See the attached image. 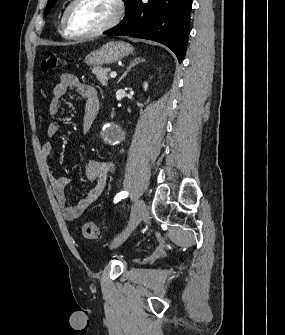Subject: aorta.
Here are the masks:
<instances>
[{
	"label": "aorta",
	"mask_w": 285,
	"mask_h": 335,
	"mask_svg": "<svg viewBox=\"0 0 285 335\" xmlns=\"http://www.w3.org/2000/svg\"><path fill=\"white\" fill-rule=\"evenodd\" d=\"M96 134L101 137L102 147H119V141L126 137V130H122L117 119H98Z\"/></svg>",
	"instance_id": "aorta-1"
}]
</instances>
